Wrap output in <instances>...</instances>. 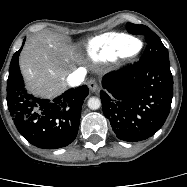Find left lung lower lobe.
Wrapping results in <instances>:
<instances>
[{"label": "left lung lower lobe", "instance_id": "left-lung-lower-lobe-1", "mask_svg": "<svg viewBox=\"0 0 187 187\" xmlns=\"http://www.w3.org/2000/svg\"><path fill=\"white\" fill-rule=\"evenodd\" d=\"M102 84L103 113L119 139L145 140L167 119L173 97L169 62L139 60L106 74Z\"/></svg>", "mask_w": 187, "mask_h": 187}]
</instances>
